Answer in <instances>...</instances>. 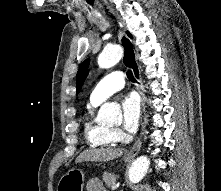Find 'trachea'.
<instances>
[{
  "instance_id": "3493384b",
  "label": "trachea",
  "mask_w": 221,
  "mask_h": 191,
  "mask_svg": "<svg viewBox=\"0 0 221 191\" xmlns=\"http://www.w3.org/2000/svg\"><path fill=\"white\" fill-rule=\"evenodd\" d=\"M127 77H128V79H129L131 82H135V78H134V76H133L132 71H128V72H127Z\"/></svg>"
}]
</instances>
